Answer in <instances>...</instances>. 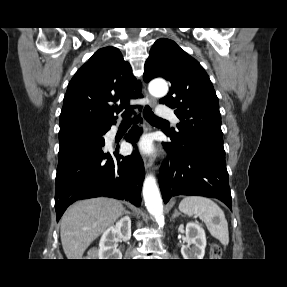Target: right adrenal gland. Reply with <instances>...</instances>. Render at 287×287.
Returning a JSON list of instances; mask_svg holds the SVG:
<instances>
[{
  "mask_svg": "<svg viewBox=\"0 0 287 287\" xmlns=\"http://www.w3.org/2000/svg\"><path fill=\"white\" fill-rule=\"evenodd\" d=\"M124 213H125V214H130V212L127 211V210H125V209H124Z\"/></svg>",
  "mask_w": 287,
  "mask_h": 287,
  "instance_id": "right-adrenal-gland-1",
  "label": "right adrenal gland"
}]
</instances>
